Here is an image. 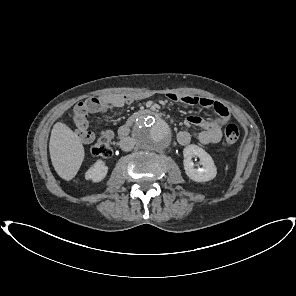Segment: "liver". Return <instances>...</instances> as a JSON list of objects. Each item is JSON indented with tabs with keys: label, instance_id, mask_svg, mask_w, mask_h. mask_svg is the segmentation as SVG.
<instances>
[{
	"label": "liver",
	"instance_id": "1",
	"mask_svg": "<svg viewBox=\"0 0 296 296\" xmlns=\"http://www.w3.org/2000/svg\"><path fill=\"white\" fill-rule=\"evenodd\" d=\"M49 152L55 171L67 181L76 176L85 156L81 139L61 122L54 124L51 131Z\"/></svg>",
	"mask_w": 296,
	"mask_h": 296
}]
</instances>
